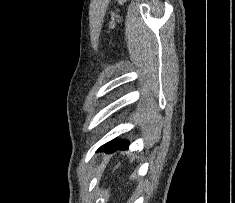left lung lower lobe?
<instances>
[{
  "instance_id": "obj_1",
  "label": "left lung lower lobe",
  "mask_w": 235,
  "mask_h": 203,
  "mask_svg": "<svg viewBox=\"0 0 235 203\" xmlns=\"http://www.w3.org/2000/svg\"><path fill=\"white\" fill-rule=\"evenodd\" d=\"M129 144L125 141H120V140H112L105 145L101 146L98 151H105L108 153L115 152L120 149H127Z\"/></svg>"
}]
</instances>
